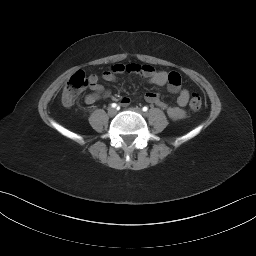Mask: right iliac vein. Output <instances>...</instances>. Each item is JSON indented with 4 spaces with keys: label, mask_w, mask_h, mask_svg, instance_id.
<instances>
[{
    "label": "right iliac vein",
    "mask_w": 256,
    "mask_h": 256,
    "mask_svg": "<svg viewBox=\"0 0 256 256\" xmlns=\"http://www.w3.org/2000/svg\"><path fill=\"white\" fill-rule=\"evenodd\" d=\"M116 113H117L116 109H114V108H109V109H108V115H109L110 117L115 116Z\"/></svg>",
    "instance_id": "1"
}]
</instances>
